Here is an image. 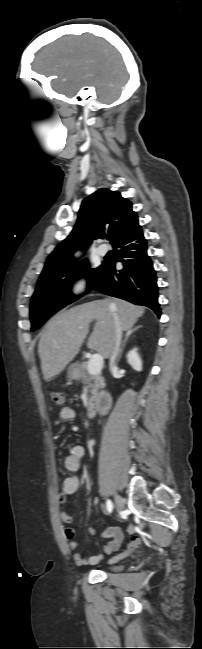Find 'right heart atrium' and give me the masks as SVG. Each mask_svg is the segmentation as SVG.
I'll list each match as a JSON object with an SVG mask.
<instances>
[{
	"mask_svg": "<svg viewBox=\"0 0 202 649\" xmlns=\"http://www.w3.org/2000/svg\"><path fill=\"white\" fill-rule=\"evenodd\" d=\"M91 289L90 275L85 271H78L69 277L65 286V295L69 299H76L87 295Z\"/></svg>",
	"mask_w": 202,
	"mask_h": 649,
	"instance_id": "obj_1",
	"label": "right heart atrium"
}]
</instances>
